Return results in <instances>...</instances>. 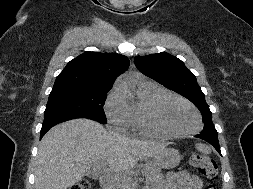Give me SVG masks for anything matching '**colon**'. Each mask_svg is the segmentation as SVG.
<instances>
[{"mask_svg":"<svg viewBox=\"0 0 253 189\" xmlns=\"http://www.w3.org/2000/svg\"><path fill=\"white\" fill-rule=\"evenodd\" d=\"M190 163L208 181L206 189H216L214 185L218 177L216 162L206 155L195 153L191 156ZM69 189H90V184L87 180H81Z\"/></svg>","mask_w":253,"mask_h":189,"instance_id":"colon-1","label":"colon"}]
</instances>
